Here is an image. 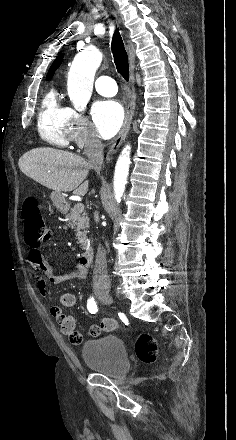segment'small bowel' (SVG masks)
Wrapping results in <instances>:
<instances>
[{"mask_svg": "<svg viewBox=\"0 0 236 440\" xmlns=\"http://www.w3.org/2000/svg\"><path fill=\"white\" fill-rule=\"evenodd\" d=\"M29 261L33 273L37 277V287L42 295L47 294L48 285H61L71 279L83 280L87 276L86 269L77 266L73 271L65 274H55L52 267L45 261L42 253L37 248H31L28 251ZM76 297L71 292H65L60 296V306L50 307V315L58 323L63 335L67 336L73 345L81 344L82 334L76 330V322L72 315L63 313L62 307H73ZM118 324L111 318H106L100 324H91L89 334L93 337L100 333H115Z\"/></svg>", "mask_w": 236, "mask_h": 440, "instance_id": "c3829d8e", "label": "small bowel"}]
</instances>
